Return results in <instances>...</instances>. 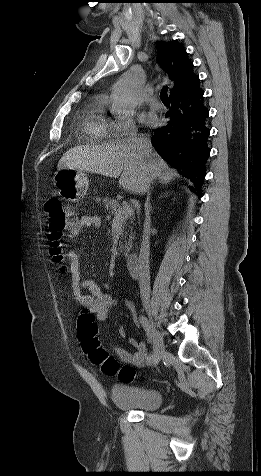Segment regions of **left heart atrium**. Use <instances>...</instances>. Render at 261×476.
I'll list each match as a JSON object with an SVG mask.
<instances>
[{
	"instance_id": "obj_1",
	"label": "left heart atrium",
	"mask_w": 261,
	"mask_h": 476,
	"mask_svg": "<svg viewBox=\"0 0 261 476\" xmlns=\"http://www.w3.org/2000/svg\"><path fill=\"white\" fill-rule=\"evenodd\" d=\"M141 121L144 123H152L153 118L150 115H143Z\"/></svg>"
}]
</instances>
